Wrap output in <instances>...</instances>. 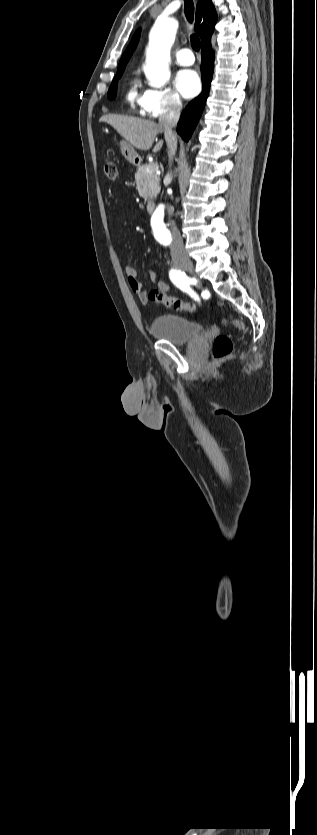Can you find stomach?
Instances as JSON below:
<instances>
[{"label": "stomach", "instance_id": "stomach-1", "mask_svg": "<svg viewBox=\"0 0 317 835\" xmlns=\"http://www.w3.org/2000/svg\"><path fill=\"white\" fill-rule=\"evenodd\" d=\"M120 149H121V153L125 157V159L127 161L131 162L132 164H136L138 161L141 160L140 156L134 150L133 146L129 142H126L124 140L121 141L120 142Z\"/></svg>", "mask_w": 317, "mask_h": 835}]
</instances>
